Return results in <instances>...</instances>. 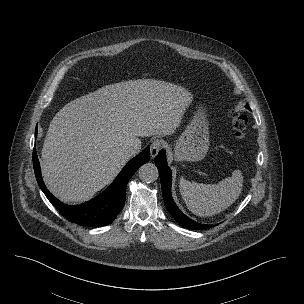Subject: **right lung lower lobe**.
Here are the masks:
<instances>
[{
	"label": "right lung lower lobe",
	"instance_id": "obj_1",
	"mask_svg": "<svg viewBox=\"0 0 304 304\" xmlns=\"http://www.w3.org/2000/svg\"><path fill=\"white\" fill-rule=\"evenodd\" d=\"M37 135V128L35 136ZM150 159V150L147 147L139 155L130 160L119 173L114 182L96 198L78 205H64L56 199L45 187L40 165L36 153L33 149V166L36 180L52 205L69 221L82 226H105L110 224L119 214L125 203L126 186L129 179L139 167L147 163Z\"/></svg>",
	"mask_w": 304,
	"mask_h": 304
}]
</instances>
